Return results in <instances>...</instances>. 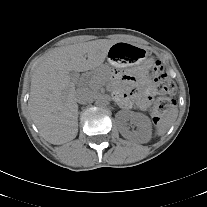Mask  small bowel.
Segmentation results:
<instances>
[{
	"label": "small bowel",
	"mask_w": 207,
	"mask_h": 207,
	"mask_svg": "<svg viewBox=\"0 0 207 207\" xmlns=\"http://www.w3.org/2000/svg\"><path fill=\"white\" fill-rule=\"evenodd\" d=\"M127 82L131 85L138 83V88L131 91H120L118 93L119 100L127 105L135 101L140 107L146 108L156 93V86L146 76L145 67L140 69L138 78L128 77Z\"/></svg>",
	"instance_id": "1"
}]
</instances>
